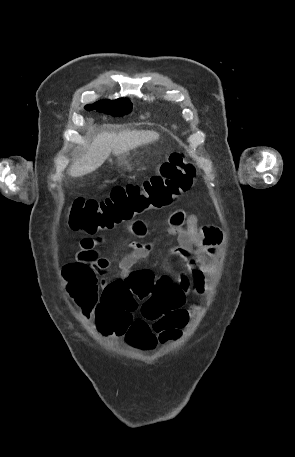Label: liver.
<instances>
[{"label": "liver", "mask_w": 295, "mask_h": 457, "mask_svg": "<svg viewBox=\"0 0 295 457\" xmlns=\"http://www.w3.org/2000/svg\"><path fill=\"white\" fill-rule=\"evenodd\" d=\"M159 134L155 131H123L119 134L102 132L92 141L87 152L76 159L69 167V175L81 177L99 168L111 152L123 155L137 147L156 142Z\"/></svg>", "instance_id": "1"}]
</instances>
